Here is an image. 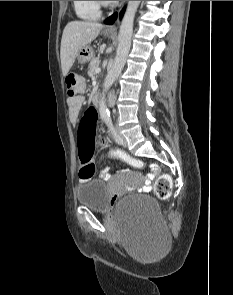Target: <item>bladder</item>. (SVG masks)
I'll use <instances>...</instances> for the list:
<instances>
[{"label":"bladder","instance_id":"1","mask_svg":"<svg viewBox=\"0 0 233 295\" xmlns=\"http://www.w3.org/2000/svg\"><path fill=\"white\" fill-rule=\"evenodd\" d=\"M76 199L81 206L97 212L109 210V189L106 183L99 179L88 180L76 188ZM124 214L137 213L147 220L159 217L156 200L148 195H133L126 197L120 204Z\"/></svg>","mask_w":233,"mask_h":295}]
</instances>
